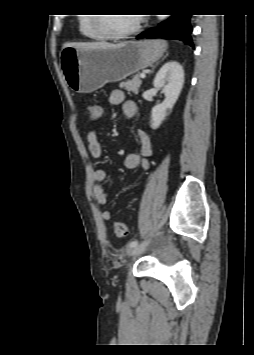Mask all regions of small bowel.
I'll return each instance as SVG.
<instances>
[{
    "label": "small bowel",
    "mask_w": 254,
    "mask_h": 355,
    "mask_svg": "<svg viewBox=\"0 0 254 355\" xmlns=\"http://www.w3.org/2000/svg\"><path fill=\"white\" fill-rule=\"evenodd\" d=\"M109 102L112 105L122 104L123 111L127 117H133L137 112V105L134 101L125 100V94L122 90H113L109 95ZM101 128L96 127L91 129L87 134V142L90 154L94 158H101L103 155L102 145L99 140ZM136 140L138 152L128 154L124 159V167L128 170H135L138 166H142L145 171L150 168L149 159L153 154L152 143L148 135L141 129L136 131ZM108 176V171L104 168H95L92 170V180L95 183L92 186V195L94 200L99 205L107 203L108 195L106 190L99 184ZM103 220H109L111 213L108 210H103L100 213Z\"/></svg>",
    "instance_id": "c3829d8e"
}]
</instances>
